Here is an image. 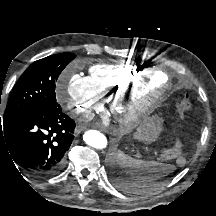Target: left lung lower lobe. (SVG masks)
I'll return each instance as SVG.
<instances>
[{
	"instance_id": "left-lung-lower-lobe-1",
	"label": "left lung lower lobe",
	"mask_w": 216,
	"mask_h": 216,
	"mask_svg": "<svg viewBox=\"0 0 216 216\" xmlns=\"http://www.w3.org/2000/svg\"><path fill=\"white\" fill-rule=\"evenodd\" d=\"M114 182L121 188L129 191H136L139 189V185L132 179L129 174H125L123 172H119L115 170L114 174Z\"/></svg>"
}]
</instances>
